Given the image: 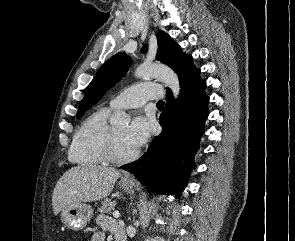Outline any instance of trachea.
Returning <instances> with one entry per match:
<instances>
[{
	"mask_svg": "<svg viewBox=\"0 0 295 241\" xmlns=\"http://www.w3.org/2000/svg\"><path fill=\"white\" fill-rule=\"evenodd\" d=\"M164 101H158L157 102V107H164Z\"/></svg>",
	"mask_w": 295,
	"mask_h": 241,
	"instance_id": "trachea-1",
	"label": "trachea"
}]
</instances>
